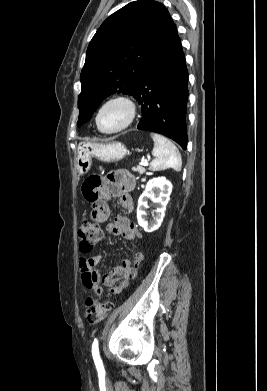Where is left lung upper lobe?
Segmentation results:
<instances>
[{
	"label": "left lung upper lobe",
	"instance_id": "1",
	"mask_svg": "<svg viewBox=\"0 0 267 391\" xmlns=\"http://www.w3.org/2000/svg\"><path fill=\"white\" fill-rule=\"evenodd\" d=\"M176 34L168 10L156 1H134L109 16L87 49L77 126L109 95H133L154 58Z\"/></svg>",
	"mask_w": 267,
	"mask_h": 391
}]
</instances>
